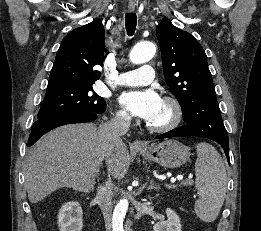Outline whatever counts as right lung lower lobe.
<instances>
[{
	"mask_svg": "<svg viewBox=\"0 0 261 231\" xmlns=\"http://www.w3.org/2000/svg\"><path fill=\"white\" fill-rule=\"evenodd\" d=\"M104 111L70 112V113H65L54 117H50L47 119L38 120L32 126L27 147L32 146L42 135H44L45 133H47L48 131L56 127L66 125V124H71V123L94 121L95 119H97L98 115H100Z\"/></svg>",
	"mask_w": 261,
	"mask_h": 231,
	"instance_id": "right-lung-lower-lobe-1",
	"label": "right lung lower lobe"
}]
</instances>
